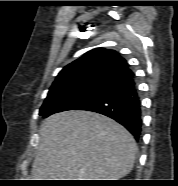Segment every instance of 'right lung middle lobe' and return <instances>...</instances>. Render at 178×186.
Wrapping results in <instances>:
<instances>
[{
  "instance_id": "obj_1",
  "label": "right lung middle lobe",
  "mask_w": 178,
  "mask_h": 186,
  "mask_svg": "<svg viewBox=\"0 0 178 186\" xmlns=\"http://www.w3.org/2000/svg\"><path fill=\"white\" fill-rule=\"evenodd\" d=\"M108 87L107 84L92 83L51 91L40 108L39 115L46 118L57 112L78 109Z\"/></svg>"
}]
</instances>
